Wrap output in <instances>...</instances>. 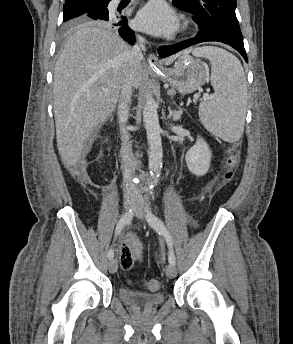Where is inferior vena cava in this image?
Segmentation results:
<instances>
[{
  "mask_svg": "<svg viewBox=\"0 0 293 344\" xmlns=\"http://www.w3.org/2000/svg\"><path fill=\"white\" fill-rule=\"evenodd\" d=\"M142 51H145V39L138 36V43L131 49L129 53L130 67L125 73L121 85V100L118 107V115L122 124L121 128V169L123 174L124 195L125 197H141V191L138 186L133 183L134 159L132 155V145L129 142V134L124 128L129 118V105L131 103L132 90L134 87L135 77L141 67L143 60Z\"/></svg>",
  "mask_w": 293,
  "mask_h": 344,
  "instance_id": "602c4592",
  "label": "inferior vena cava"
}]
</instances>
